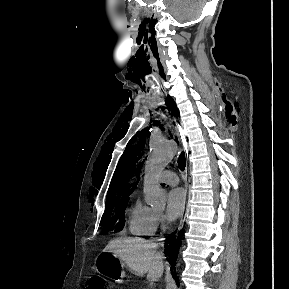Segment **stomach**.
Here are the masks:
<instances>
[{
  "mask_svg": "<svg viewBox=\"0 0 289 289\" xmlns=\"http://www.w3.org/2000/svg\"><path fill=\"white\" fill-rule=\"evenodd\" d=\"M122 267V261L112 252H101L95 261V270L114 281H119L125 276Z\"/></svg>",
  "mask_w": 289,
  "mask_h": 289,
  "instance_id": "stomach-1",
  "label": "stomach"
}]
</instances>
